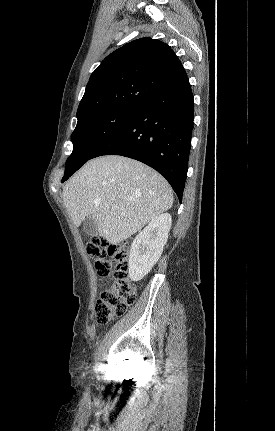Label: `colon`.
I'll return each instance as SVG.
<instances>
[{
	"mask_svg": "<svg viewBox=\"0 0 275 431\" xmlns=\"http://www.w3.org/2000/svg\"><path fill=\"white\" fill-rule=\"evenodd\" d=\"M87 250L100 276L113 275V282L101 293L95 305L94 317L99 324L122 316L137 299V291L128 276L129 249L125 244L111 245L94 236Z\"/></svg>",
	"mask_w": 275,
	"mask_h": 431,
	"instance_id": "5ec220e1",
	"label": "colon"
}]
</instances>
